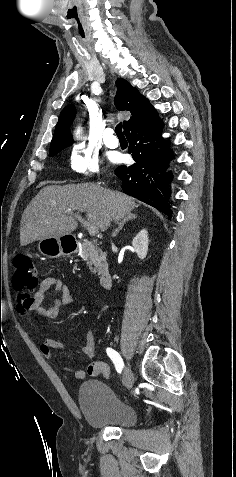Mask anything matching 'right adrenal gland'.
Segmentation results:
<instances>
[{
  "instance_id": "1",
  "label": "right adrenal gland",
  "mask_w": 236,
  "mask_h": 477,
  "mask_svg": "<svg viewBox=\"0 0 236 477\" xmlns=\"http://www.w3.org/2000/svg\"><path fill=\"white\" fill-rule=\"evenodd\" d=\"M136 218H137V216L135 214L129 213L121 222H117L118 228L115 229V231L112 234V237H116V235L118 234V232L120 230H122V228H123V226L125 225L126 222H128L129 220L136 219Z\"/></svg>"
}]
</instances>
